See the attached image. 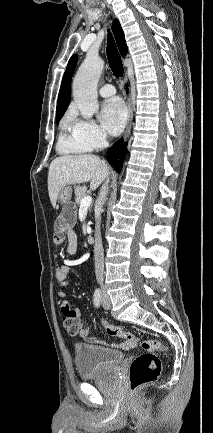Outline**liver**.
Here are the masks:
<instances>
[{
  "instance_id": "6515ba94",
  "label": "liver",
  "mask_w": 213,
  "mask_h": 433,
  "mask_svg": "<svg viewBox=\"0 0 213 433\" xmlns=\"http://www.w3.org/2000/svg\"><path fill=\"white\" fill-rule=\"evenodd\" d=\"M108 175V165L96 155H64L55 158L48 172V193L52 206L56 205L63 187L90 181L91 190H96Z\"/></svg>"
}]
</instances>
